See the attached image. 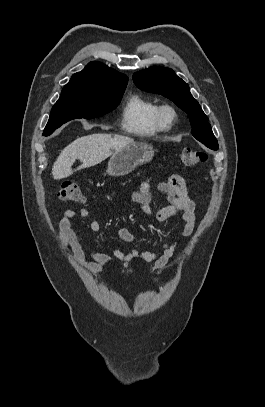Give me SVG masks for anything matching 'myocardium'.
Instances as JSON below:
<instances>
[{
  "label": "myocardium",
  "mask_w": 265,
  "mask_h": 407,
  "mask_svg": "<svg viewBox=\"0 0 265 407\" xmlns=\"http://www.w3.org/2000/svg\"><path fill=\"white\" fill-rule=\"evenodd\" d=\"M177 111L175 107L165 104L158 107L156 119L161 130L171 129L177 120Z\"/></svg>",
  "instance_id": "myocardium-1"
}]
</instances>
